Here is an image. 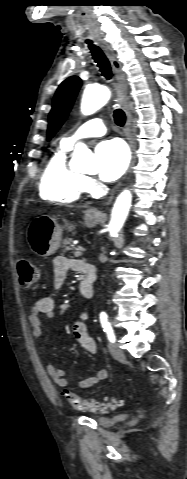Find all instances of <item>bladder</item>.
Returning <instances> with one entry per match:
<instances>
[{
	"mask_svg": "<svg viewBox=\"0 0 187 479\" xmlns=\"http://www.w3.org/2000/svg\"><path fill=\"white\" fill-rule=\"evenodd\" d=\"M95 419L98 422V424L103 427H110L116 422L114 418L96 417Z\"/></svg>",
	"mask_w": 187,
	"mask_h": 479,
	"instance_id": "1",
	"label": "bladder"
}]
</instances>
